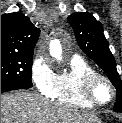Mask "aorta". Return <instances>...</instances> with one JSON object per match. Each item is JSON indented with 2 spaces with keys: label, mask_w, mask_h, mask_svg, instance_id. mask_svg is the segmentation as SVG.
Returning <instances> with one entry per match:
<instances>
[{
  "label": "aorta",
  "mask_w": 122,
  "mask_h": 123,
  "mask_svg": "<svg viewBox=\"0 0 122 123\" xmlns=\"http://www.w3.org/2000/svg\"><path fill=\"white\" fill-rule=\"evenodd\" d=\"M50 54L59 61L62 59V49L58 41H54L50 44Z\"/></svg>",
  "instance_id": "1"
}]
</instances>
